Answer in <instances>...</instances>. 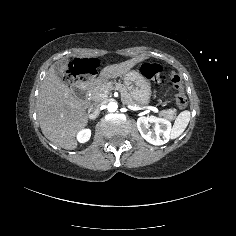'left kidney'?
Segmentation results:
<instances>
[{"label": "left kidney", "mask_w": 236, "mask_h": 236, "mask_svg": "<svg viewBox=\"0 0 236 236\" xmlns=\"http://www.w3.org/2000/svg\"><path fill=\"white\" fill-rule=\"evenodd\" d=\"M149 122L153 125L154 132L149 129ZM137 127L142 137L153 145H163L169 141L172 124L169 120L154 115L141 117Z\"/></svg>", "instance_id": "1"}]
</instances>
